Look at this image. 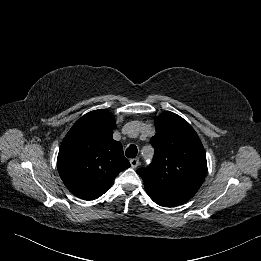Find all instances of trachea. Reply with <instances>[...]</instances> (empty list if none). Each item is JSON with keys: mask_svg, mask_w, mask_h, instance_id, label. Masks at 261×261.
I'll use <instances>...</instances> for the list:
<instances>
[{"mask_svg": "<svg viewBox=\"0 0 261 261\" xmlns=\"http://www.w3.org/2000/svg\"><path fill=\"white\" fill-rule=\"evenodd\" d=\"M137 147L134 144H131L125 152L126 157L128 158H135L137 155Z\"/></svg>", "mask_w": 261, "mask_h": 261, "instance_id": "3493384b", "label": "trachea"}]
</instances>
